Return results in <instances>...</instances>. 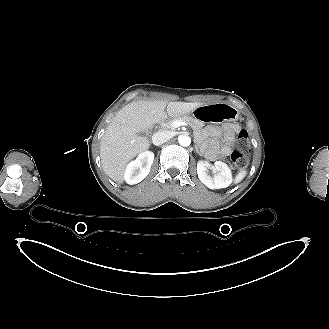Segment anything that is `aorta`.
Masks as SVG:
<instances>
[{
	"instance_id": "obj_1",
	"label": "aorta",
	"mask_w": 329,
	"mask_h": 329,
	"mask_svg": "<svg viewBox=\"0 0 329 329\" xmlns=\"http://www.w3.org/2000/svg\"><path fill=\"white\" fill-rule=\"evenodd\" d=\"M178 142L181 146L186 147L191 144V138L187 135H181L178 138Z\"/></svg>"
}]
</instances>
